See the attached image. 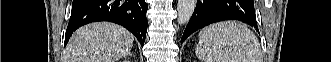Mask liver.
I'll list each match as a JSON object with an SVG mask.
<instances>
[{"instance_id":"1","label":"liver","mask_w":331,"mask_h":62,"mask_svg":"<svg viewBox=\"0 0 331 62\" xmlns=\"http://www.w3.org/2000/svg\"><path fill=\"white\" fill-rule=\"evenodd\" d=\"M133 42L134 36L122 26L91 23L71 36L65 62H116L128 55Z\"/></svg>"}]
</instances>
